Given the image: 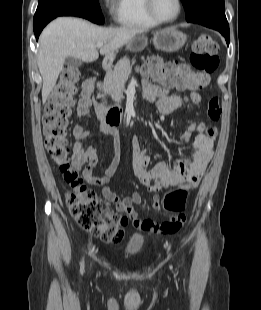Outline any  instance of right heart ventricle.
I'll list each match as a JSON object with an SVG mask.
<instances>
[{"label": "right heart ventricle", "mask_w": 261, "mask_h": 310, "mask_svg": "<svg viewBox=\"0 0 261 310\" xmlns=\"http://www.w3.org/2000/svg\"><path fill=\"white\" fill-rule=\"evenodd\" d=\"M114 19L126 28L151 29L159 25L146 11L145 0H114Z\"/></svg>", "instance_id": "1"}]
</instances>
